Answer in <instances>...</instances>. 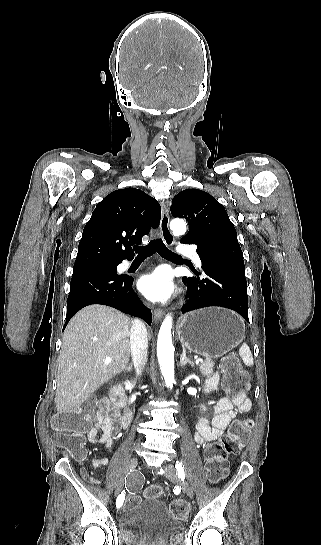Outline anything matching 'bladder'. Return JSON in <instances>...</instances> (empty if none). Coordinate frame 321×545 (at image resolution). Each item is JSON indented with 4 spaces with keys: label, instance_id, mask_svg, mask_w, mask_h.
Masks as SVG:
<instances>
[{
    "label": "bladder",
    "instance_id": "obj_1",
    "mask_svg": "<svg viewBox=\"0 0 321 545\" xmlns=\"http://www.w3.org/2000/svg\"><path fill=\"white\" fill-rule=\"evenodd\" d=\"M119 535L127 545H178L184 525L159 498H148L118 516Z\"/></svg>",
    "mask_w": 321,
    "mask_h": 545
}]
</instances>
